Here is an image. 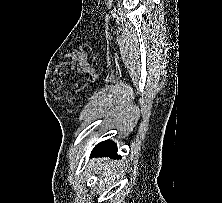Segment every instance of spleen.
Masks as SVG:
<instances>
[{
    "instance_id": "1",
    "label": "spleen",
    "mask_w": 222,
    "mask_h": 203,
    "mask_svg": "<svg viewBox=\"0 0 222 203\" xmlns=\"http://www.w3.org/2000/svg\"><path fill=\"white\" fill-rule=\"evenodd\" d=\"M121 164L111 163V162H103L100 164L95 173L99 175L100 180L114 181L117 176L121 174Z\"/></svg>"
}]
</instances>
